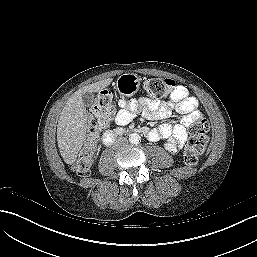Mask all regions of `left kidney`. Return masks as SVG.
<instances>
[{
  "mask_svg": "<svg viewBox=\"0 0 257 257\" xmlns=\"http://www.w3.org/2000/svg\"><path fill=\"white\" fill-rule=\"evenodd\" d=\"M164 145H165V149L167 151L171 152L172 154H176L178 152V150L174 144L166 143Z\"/></svg>",
  "mask_w": 257,
  "mask_h": 257,
  "instance_id": "left-kidney-1",
  "label": "left kidney"
}]
</instances>
